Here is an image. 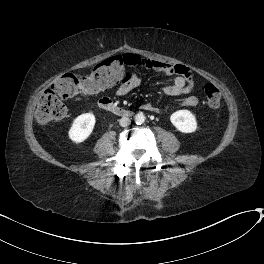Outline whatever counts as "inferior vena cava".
I'll return each mask as SVG.
<instances>
[{
  "mask_svg": "<svg viewBox=\"0 0 264 264\" xmlns=\"http://www.w3.org/2000/svg\"><path fill=\"white\" fill-rule=\"evenodd\" d=\"M130 119L128 117H123L119 120V124L122 127H127L130 124Z\"/></svg>",
  "mask_w": 264,
  "mask_h": 264,
  "instance_id": "inferior-vena-cava-1",
  "label": "inferior vena cava"
}]
</instances>
